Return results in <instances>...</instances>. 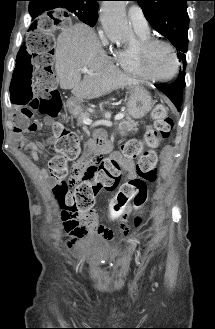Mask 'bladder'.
Here are the masks:
<instances>
[{
  "instance_id": "31cf9c89",
  "label": "bladder",
  "mask_w": 215,
  "mask_h": 329,
  "mask_svg": "<svg viewBox=\"0 0 215 329\" xmlns=\"http://www.w3.org/2000/svg\"><path fill=\"white\" fill-rule=\"evenodd\" d=\"M76 255L87 267L100 266L103 261L116 258L119 248L107 238L91 233L75 244Z\"/></svg>"
}]
</instances>
